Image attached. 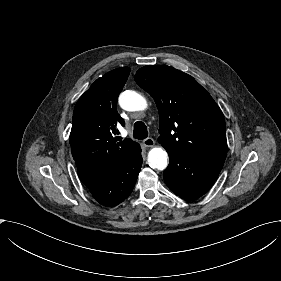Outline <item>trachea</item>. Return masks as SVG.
Instances as JSON below:
<instances>
[{
	"instance_id": "obj_1",
	"label": "trachea",
	"mask_w": 281,
	"mask_h": 281,
	"mask_svg": "<svg viewBox=\"0 0 281 281\" xmlns=\"http://www.w3.org/2000/svg\"><path fill=\"white\" fill-rule=\"evenodd\" d=\"M133 135H134V138L138 139V140L146 139L148 136V131H147L146 125L141 121H137L134 124Z\"/></svg>"
}]
</instances>
